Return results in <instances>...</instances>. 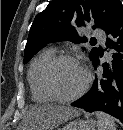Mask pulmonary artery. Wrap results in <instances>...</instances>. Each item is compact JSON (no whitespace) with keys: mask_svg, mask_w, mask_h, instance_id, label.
I'll list each match as a JSON object with an SVG mask.
<instances>
[{"mask_svg":"<svg viewBox=\"0 0 123 130\" xmlns=\"http://www.w3.org/2000/svg\"><path fill=\"white\" fill-rule=\"evenodd\" d=\"M92 35H93L95 38H97V39H99V40H101V41H104V40H105V34H104V32H103L102 30H100V29H95V30L92 32Z\"/></svg>","mask_w":123,"mask_h":130,"instance_id":"obj_1","label":"pulmonary artery"}]
</instances>
